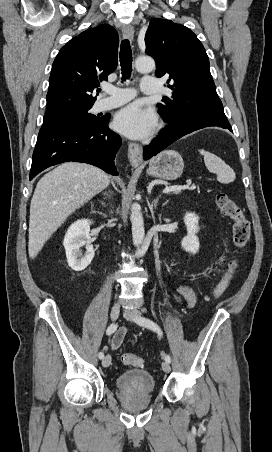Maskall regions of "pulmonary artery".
Wrapping results in <instances>:
<instances>
[{
	"mask_svg": "<svg viewBox=\"0 0 272 452\" xmlns=\"http://www.w3.org/2000/svg\"><path fill=\"white\" fill-rule=\"evenodd\" d=\"M141 85L144 94H156L159 91L158 80L154 77H144ZM104 92L110 96L102 98L95 103L96 111H104L121 106L135 96L131 89H122L114 86H105Z\"/></svg>",
	"mask_w": 272,
	"mask_h": 452,
	"instance_id": "obj_1",
	"label": "pulmonary artery"
}]
</instances>
